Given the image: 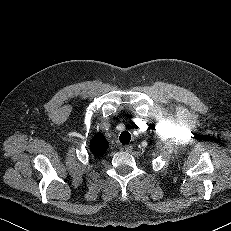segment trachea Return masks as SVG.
Returning a JSON list of instances; mask_svg holds the SVG:
<instances>
[{"label": "trachea", "mask_w": 231, "mask_h": 231, "mask_svg": "<svg viewBox=\"0 0 231 231\" xmlns=\"http://www.w3.org/2000/svg\"><path fill=\"white\" fill-rule=\"evenodd\" d=\"M131 140V135L128 131H123L120 134V142L123 144H128Z\"/></svg>", "instance_id": "obj_1"}]
</instances>
